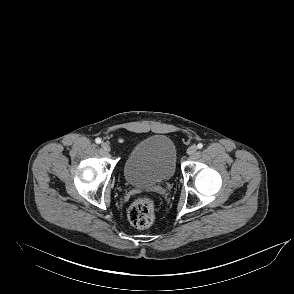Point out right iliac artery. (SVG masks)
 Returning a JSON list of instances; mask_svg holds the SVG:
<instances>
[{"label":"right iliac artery","instance_id":"82829eb1","mask_svg":"<svg viewBox=\"0 0 294 294\" xmlns=\"http://www.w3.org/2000/svg\"><path fill=\"white\" fill-rule=\"evenodd\" d=\"M95 142H96L97 144H100V143H101V139H100V138H96V139H95Z\"/></svg>","mask_w":294,"mask_h":294}]
</instances>
